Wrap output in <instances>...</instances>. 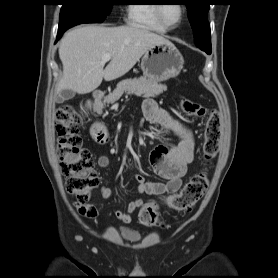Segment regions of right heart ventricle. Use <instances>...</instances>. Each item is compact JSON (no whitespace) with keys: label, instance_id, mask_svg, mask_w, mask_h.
I'll return each mask as SVG.
<instances>
[{"label":"right heart ventricle","instance_id":"obj_1","mask_svg":"<svg viewBox=\"0 0 278 278\" xmlns=\"http://www.w3.org/2000/svg\"><path fill=\"white\" fill-rule=\"evenodd\" d=\"M155 10V4H131L128 7V22L133 26L149 31L165 33L166 28L158 21Z\"/></svg>","mask_w":278,"mask_h":278}]
</instances>
